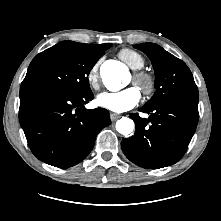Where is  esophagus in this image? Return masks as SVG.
<instances>
[{
  "mask_svg": "<svg viewBox=\"0 0 221 221\" xmlns=\"http://www.w3.org/2000/svg\"><path fill=\"white\" fill-rule=\"evenodd\" d=\"M119 117H120V115L117 113H110V119L112 121H116Z\"/></svg>",
  "mask_w": 221,
  "mask_h": 221,
  "instance_id": "obj_1",
  "label": "esophagus"
}]
</instances>
